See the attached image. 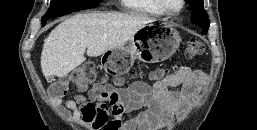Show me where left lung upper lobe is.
I'll list each match as a JSON object with an SVG mask.
<instances>
[{"mask_svg": "<svg viewBox=\"0 0 257 130\" xmlns=\"http://www.w3.org/2000/svg\"><path fill=\"white\" fill-rule=\"evenodd\" d=\"M190 4L193 13L191 15V22L202 28L205 34L209 28L210 21L204 10L203 0H187Z\"/></svg>", "mask_w": 257, "mask_h": 130, "instance_id": "obj_1", "label": "left lung upper lobe"}]
</instances>
